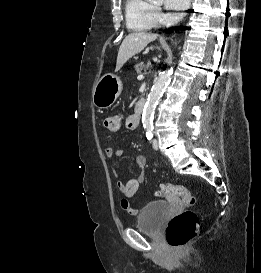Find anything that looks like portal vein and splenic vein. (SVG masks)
Masks as SVG:
<instances>
[{
    "mask_svg": "<svg viewBox=\"0 0 261 273\" xmlns=\"http://www.w3.org/2000/svg\"><path fill=\"white\" fill-rule=\"evenodd\" d=\"M143 78H144L143 75H139V76H138V80H142Z\"/></svg>",
    "mask_w": 261,
    "mask_h": 273,
    "instance_id": "portal-vein-and-splenic-vein-1",
    "label": "portal vein and splenic vein"
}]
</instances>
